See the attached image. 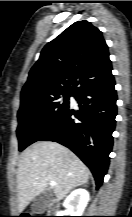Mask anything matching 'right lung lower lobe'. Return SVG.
I'll list each match as a JSON object with an SVG mask.
<instances>
[{"instance_id":"98d812e1","label":"right lung lower lobe","mask_w":132,"mask_h":217,"mask_svg":"<svg viewBox=\"0 0 132 217\" xmlns=\"http://www.w3.org/2000/svg\"><path fill=\"white\" fill-rule=\"evenodd\" d=\"M114 78L73 94L79 110L70 107L39 139L58 142L71 149L91 170L96 187L102 185L113 145L117 114ZM74 115L77 120L72 118Z\"/></svg>"}]
</instances>
